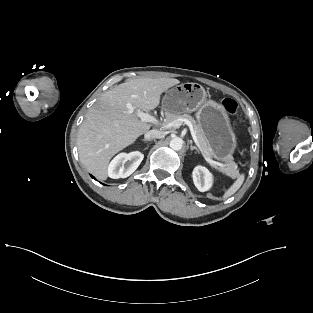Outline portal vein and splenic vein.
<instances>
[{"instance_id":"obj_1","label":"portal vein and splenic vein","mask_w":313,"mask_h":313,"mask_svg":"<svg viewBox=\"0 0 313 313\" xmlns=\"http://www.w3.org/2000/svg\"><path fill=\"white\" fill-rule=\"evenodd\" d=\"M127 108L130 110V112H132L133 107L130 103L127 104ZM137 115L140 117L142 122H149L152 124H155L157 126H161L164 129H168V128H179L183 123L185 125L188 126L191 136L193 138V141L195 142V144L199 147L202 156L204 157V159L206 160V162H208L211 165H215L217 164L216 162H214L213 160H211L201 149L198 139L196 137V133L194 131L193 125L192 123L188 120V119H177V120H173L171 122L168 123H161L156 117H154L153 115L149 114V113H144L142 111H138Z\"/></svg>"}]
</instances>
